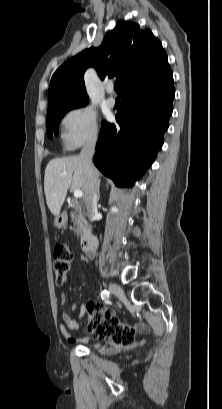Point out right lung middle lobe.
Masks as SVG:
<instances>
[{"mask_svg":"<svg viewBox=\"0 0 222 409\" xmlns=\"http://www.w3.org/2000/svg\"><path fill=\"white\" fill-rule=\"evenodd\" d=\"M85 104H73V105H68V106H64V107H60V108H56L53 110H50L47 112V117H46V124L48 127V137L52 138V131L55 135L58 134V125L60 123V119L61 117L68 112L71 109L77 108V107H82ZM107 123L104 122L102 125V129L105 127ZM101 129V130H102Z\"/></svg>","mask_w":222,"mask_h":409,"instance_id":"dd1d6c3e","label":"right lung middle lobe"}]
</instances>
